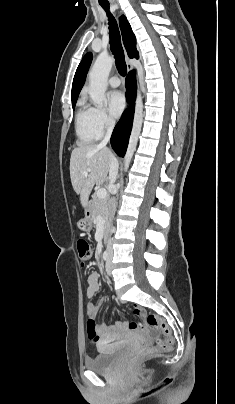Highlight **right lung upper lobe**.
I'll return each instance as SVG.
<instances>
[{"label": "right lung upper lobe", "instance_id": "obj_1", "mask_svg": "<svg viewBox=\"0 0 235 404\" xmlns=\"http://www.w3.org/2000/svg\"><path fill=\"white\" fill-rule=\"evenodd\" d=\"M120 29L122 32L124 46L127 50L130 58H139L138 51L136 49V39L132 32V29L125 16L119 18ZM92 61V54L87 53L79 64L75 73L72 85V102H76L81 88L85 82V78Z\"/></svg>", "mask_w": 235, "mask_h": 404}]
</instances>
